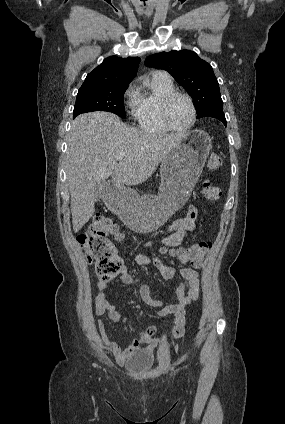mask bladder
<instances>
[{
  "label": "bladder",
  "instance_id": "obj_1",
  "mask_svg": "<svg viewBox=\"0 0 285 424\" xmlns=\"http://www.w3.org/2000/svg\"><path fill=\"white\" fill-rule=\"evenodd\" d=\"M154 358V351L149 348L135 349L126 362L127 367L133 372L147 368Z\"/></svg>",
  "mask_w": 285,
  "mask_h": 424
}]
</instances>
